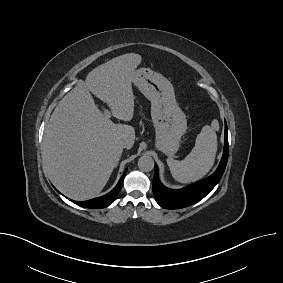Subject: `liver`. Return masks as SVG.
I'll return each mask as SVG.
<instances>
[{"instance_id":"6515ba94","label":"liver","mask_w":283,"mask_h":283,"mask_svg":"<svg viewBox=\"0 0 283 283\" xmlns=\"http://www.w3.org/2000/svg\"><path fill=\"white\" fill-rule=\"evenodd\" d=\"M139 54L128 53L93 69L58 103L45 127L43 159L56 187L67 197L82 201L105 187L122 155L135 141V130L114 124L99 110L90 92L106 102L112 115L130 121L134 114L131 83L141 63Z\"/></svg>"}]
</instances>
